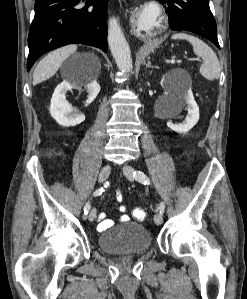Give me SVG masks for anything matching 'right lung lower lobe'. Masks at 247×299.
Instances as JSON below:
<instances>
[{"instance_id":"98d812e1","label":"right lung lower lobe","mask_w":247,"mask_h":299,"mask_svg":"<svg viewBox=\"0 0 247 299\" xmlns=\"http://www.w3.org/2000/svg\"><path fill=\"white\" fill-rule=\"evenodd\" d=\"M108 1L35 0L27 70L44 53L67 44L81 43L107 52Z\"/></svg>"}]
</instances>
